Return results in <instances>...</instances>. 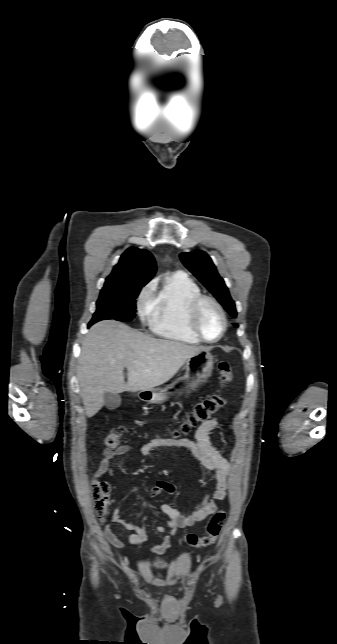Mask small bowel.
<instances>
[{"label": "small bowel", "mask_w": 337, "mask_h": 644, "mask_svg": "<svg viewBox=\"0 0 337 644\" xmlns=\"http://www.w3.org/2000/svg\"><path fill=\"white\" fill-rule=\"evenodd\" d=\"M217 426L218 420L216 418H211L198 427L195 432L194 440H151L138 448V451L142 456H148L158 448L171 445L187 448L191 451L192 455L201 467L214 474L213 486L190 510L183 511L174 508L169 504H163L160 507L161 512L168 517V522L165 526L157 527V531L163 533L168 530L169 533L166 534L159 543L150 548L151 553L161 554L165 552L170 547L171 538L175 535L178 529L191 527L194 524L203 521L209 515L213 514L217 510L218 504L225 499L231 463L221 456L210 441L209 434ZM133 449L134 447L129 444L120 445L113 450L105 449L103 451V458L97 470L96 477L101 478L106 473H113L111 461L116 457L127 454ZM175 492L176 485L174 483L166 480H159L149 491V496L153 497L161 493L174 494ZM145 518L146 515L143 516V519ZM112 521L121 524L125 529L131 532L128 536V540L134 546H139L141 543L149 539L146 528L143 525H137L123 520L119 509L114 510ZM104 537L114 546L122 547L125 544L124 540L119 537L109 525L104 529Z\"/></svg>", "instance_id": "c3829d8e"}]
</instances>
